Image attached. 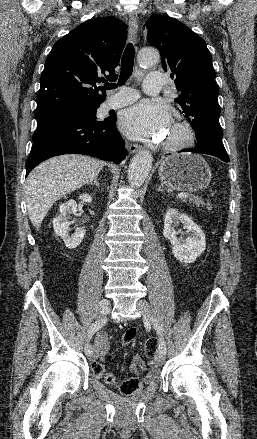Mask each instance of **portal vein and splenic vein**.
I'll list each match as a JSON object with an SVG mask.
<instances>
[{
    "label": "portal vein and splenic vein",
    "instance_id": "obj_1",
    "mask_svg": "<svg viewBox=\"0 0 257 439\" xmlns=\"http://www.w3.org/2000/svg\"><path fill=\"white\" fill-rule=\"evenodd\" d=\"M189 196H190L189 193H181V194H178V195H177V198H180V199H186V198H188Z\"/></svg>",
    "mask_w": 257,
    "mask_h": 439
}]
</instances>
